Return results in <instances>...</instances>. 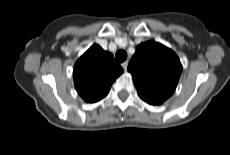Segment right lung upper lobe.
<instances>
[{"mask_svg":"<svg viewBox=\"0 0 230 155\" xmlns=\"http://www.w3.org/2000/svg\"><path fill=\"white\" fill-rule=\"evenodd\" d=\"M123 73L111 53L92 45L75 63L73 78L78 94L88 103L104 98Z\"/></svg>","mask_w":230,"mask_h":155,"instance_id":"1","label":"right lung upper lobe"}]
</instances>
